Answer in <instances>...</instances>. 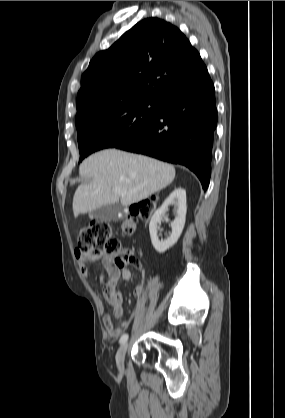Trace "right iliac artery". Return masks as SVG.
<instances>
[{
  "instance_id": "obj_1",
  "label": "right iliac artery",
  "mask_w": 285,
  "mask_h": 418,
  "mask_svg": "<svg viewBox=\"0 0 285 418\" xmlns=\"http://www.w3.org/2000/svg\"><path fill=\"white\" fill-rule=\"evenodd\" d=\"M128 340V334H123L120 338V344H124Z\"/></svg>"
}]
</instances>
